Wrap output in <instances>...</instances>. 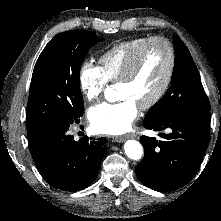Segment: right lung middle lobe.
<instances>
[{
	"mask_svg": "<svg viewBox=\"0 0 221 221\" xmlns=\"http://www.w3.org/2000/svg\"><path fill=\"white\" fill-rule=\"evenodd\" d=\"M102 40L91 31L57 34L46 45L34 67L26 110L29 143L52 124L84 113L80 69L88 49Z\"/></svg>",
	"mask_w": 221,
	"mask_h": 221,
	"instance_id": "obj_1",
	"label": "right lung middle lobe"
}]
</instances>
